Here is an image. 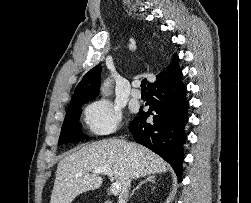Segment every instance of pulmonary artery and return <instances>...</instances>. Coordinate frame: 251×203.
Masks as SVG:
<instances>
[{
    "instance_id": "pulmonary-artery-1",
    "label": "pulmonary artery",
    "mask_w": 251,
    "mask_h": 203,
    "mask_svg": "<svg viewBox=\"0 0 251 203\" xmlns=\"http://www.w3.org/2000/svg\"><path fill=\"white\" fill-rule=\"evenodd\" d=\"M134 85L137 86V83H135ZM131 96L133 98H135V99H140L141 98V92L138 89L134 88L131 91Z\"/></svg>"
}]
</instances>
